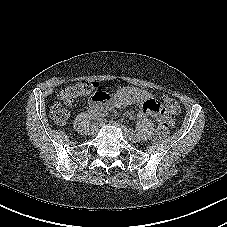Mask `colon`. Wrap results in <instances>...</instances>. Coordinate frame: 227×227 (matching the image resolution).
I'll return each mask as SVG.
<instances>
[{
  "label": "colon",
  "instance_id": "obj_1",
  "mask_svg": "<svg viewBox=\"0 0 227 227\" xmlns=\"http://www.w3.org/2000/svg\"><path fill=\"white\" fill-rule=\"evenodd\" d=\"M99 84L94 81H79L74 85L64 88L54 100L50 110V116L57 125H64L69 117L68 106L77 97L90 96L92 99L105 100L108 96L97 92ZM162 107L169 119H172L179 111V104L176 99L170 96L162 97ZM169 122L160 124L156 129V136L166 137L169 134Z\"/></svg>",
  "mask_w": 227,
  "mask_h": 227
}]
</instances>
